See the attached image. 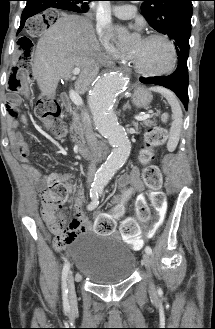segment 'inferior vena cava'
Masks as SVG:
<instances>
[{
    "instance_id": "602c4592",
    "label": "inferior vena cava",
    "mask_w": 215,
    "mask_h": 329,
    "mask_svg": "<svg viewBox=\"0 0 215 329\" xmlns=\"http://www.w3.org/2000/svg\"><path fill=\"white\" fill-rule=\"evenodd\" d=\"M82 122H83V131L87 141V144L91 151V162L88 167V182H91L96 171V162L98 160L99 150H98V141L94 131L91 128V125L88 121L86 111H82Z\"/></svg>"
}]
</instances>
